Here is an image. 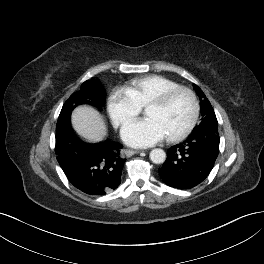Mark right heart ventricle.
<instances>
[{
  "label": "right heart ventricle",
  "mask_w": 264,
  "mask_h": 264,
  "mask_svg": "<svg viewBox=\"0 0 264 264\" xmlns=\"http://www.w3.org/2000/svg\"><path fill=\"white\" fill-rule=\"evenodd\" d=\"M180 86L176 81L162 75H146L132 80L126 91L140 107H145L151 100L164 92Z\"/></svg>",
  "instance_id": "e07e8e85"
}]
</instances>
